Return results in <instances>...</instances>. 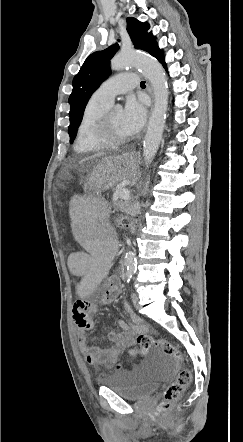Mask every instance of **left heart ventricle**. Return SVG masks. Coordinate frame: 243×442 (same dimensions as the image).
<instances>
[{"mask_svg":"<svg viewBox=\"0 0 243 442\" xmlns=\"http://www.w3.org/2000/svg\"><path fill=\"white\" fill-rule=\"evenodd\" d=\"M110 135L114 138H125L130 136L123 121L121 110H112L110 115Z\"/></svg>","mask_w":243,"mask_h":442,"instance_id":"b2bd125f","label":"left heart ventricle"}]
</instances>
